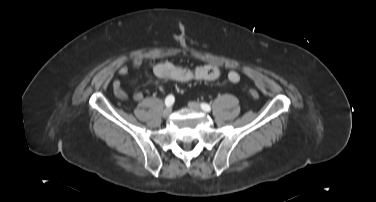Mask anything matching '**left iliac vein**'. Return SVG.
I'll use <instances>...</instances> for the list:
<instances>
[{"label": "left iliac vein", "instance_id": "obj_1", "mask_svg": "<svg viewBox=\"0 0 376 202\" xmlns=\"http://www.w3.org/2000/svg\"><path fill=\"white\" fill-rule=\"evenodd\" d=\"M188 106H189L191 109L195 110V111H200V110H201L200 105H199L198 103H196V102H193V101H190V102L188 103Z\"/></svg>", "mask_w": 376, "mask_h": 202}]
</instances>
